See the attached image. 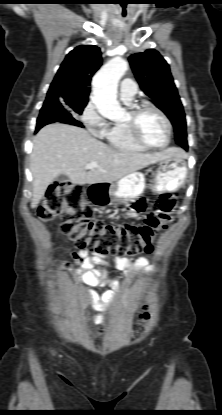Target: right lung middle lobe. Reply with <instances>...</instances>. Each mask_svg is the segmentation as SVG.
Returning <instances> with one entry per match:
<instances>
[{
	"label": "right lung middle lobe",
	"instance_id": "1",
	"mask_svg": "<svg viewBox=\"0 0 222 415\" xmlns=\"http://www.w3.org/2000/svg\"><path fill=\"white\" fill-rule=\"evenodd\" d=\"M50 105V106H62L63 108L65 107L66 109H68V111H70L71 113H77V114H82L83 109L85 108L87 102L85 101H76V100H63V99H59V100H55V101H51V102H44V105ZM43 105V106H44Z\"/></svg>",
	"mask_w": 222,
	"mask_h": 415
}]
</instances>
